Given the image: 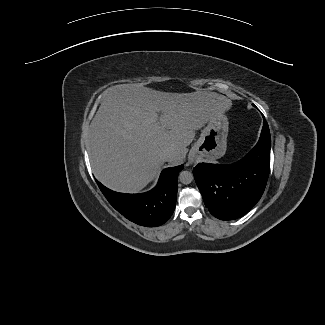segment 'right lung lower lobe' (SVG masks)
Wrapping results in <instances>:
<instances>
[{
    "label": "right lung lower lobe",
    "mask_w": 325,
    "mask_h": 325,
    "mask_svg": "<svg viewBox=\"0 0 325 325\" xmlns=\"http://www.w3.org/2000/svg\"><path fill=\"white\" fill-rule=\"evenodd\" d=\"M184 165L166 168L161 172L157 186L141 194L112 191L97 184L108 202L130 221L146 227L164 224L173 214L178 188V173Z\"/></svg>",
    "instance_id": "1"
}]
</instances>
